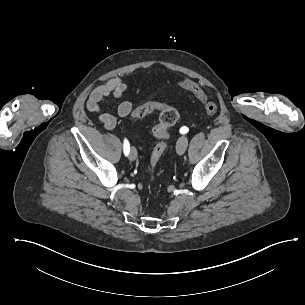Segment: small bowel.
Segmentation results:
<instances>
[{
	"label": "small bowel",
	"instance_id": "small-bowel-1",
	"mask_svg": "<svg viewBox=\"0 0 305 305\" xmlns=\"http://www.w3.org/2000/svg\"><path fill=\"white\" fill-rule=\"evenodd\" d=\"M126 90V83L120 77H114L90 93L86 108L89 112L97 116V119L106 130L114 129L117 124V119L111 114L102 112L101 103L108 97L120 98ZM132 110L133 103L130 100H125L118 106L117 115L120 118H125L132 113Z\"/></svg>",
	"mask_w": 305,
	"mask_h": 305
}]
</instances>
